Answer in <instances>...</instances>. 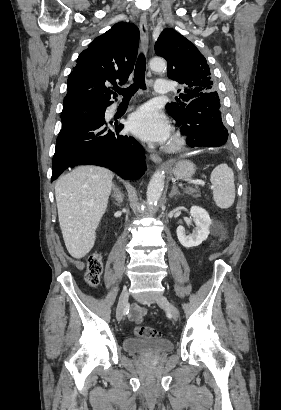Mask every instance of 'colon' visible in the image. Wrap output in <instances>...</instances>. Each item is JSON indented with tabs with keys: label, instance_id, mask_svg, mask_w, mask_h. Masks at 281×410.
<instances>
[{
	"label": "colon",
	"instance_id": "5ec220e1",
	"mask_svg": "<svg viewBox=\"0 0 281 410\" xmlns=\"http://www.w3.org/2000/svg\"><path fill=\"white\" fill-rule=\"evenodd\" d=\"M223 239H224V236L220 238V241H222ZM102 272H103L102 254L101 252H97L93 254L92 256H90L88 260L87 271L85 275L87 283L92 287L97 286L100 282ZM134 334L137 337L148 338V339L157 338L161 335V333L158 330L151 328V327H147V326L135 327Z\"/></svg>",
	"mask_w": 281,
	"mask_h": 410
}]
</instances>
